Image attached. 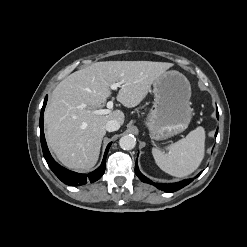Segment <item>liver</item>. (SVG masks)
<instances>
[{"label":"liver","mask_w":247,"mask_h":247,"mask_svg":"<svg viewBox=\"0 0 247 247\" xmlns=\"http://www.w3.org/2000/svg\"><path fill=\"white\" fill-rule=\"evenodd\" d=\"M172 63L152 61L96 62L62 80L53 90L44 113L46 140L65 167L87 171L98 161L109 120L124 122V113H95L111 95L110 86L123 81L117 100L137 106L151 85Z\"/></svg>","instance_id":"1"}]
</instances>
